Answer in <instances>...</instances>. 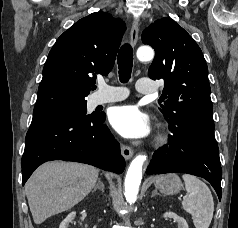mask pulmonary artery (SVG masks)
I'll return each instance as SVG.
<instances>
[{
	"mask_svg": "<svg viewBox=\"0 0 238 228\" xmlns=\"http://www.w3.org/2000/svg\"><path fill=\"white\" fill-rule=\"evenodd\" d=\"M137 90L142 94L152 95L156 92V86L152 79L142 78L137 83ZM128 92L124 88L101 83L99 93L95 96V104H105L123 100L127 97Z\"/></svg>",
	"mask_w": 238,
	"mask_h": 228,
	"instance_id": "pulmonary-artery-1",
	"label": "pulmonary artery"
}]
</instances>
